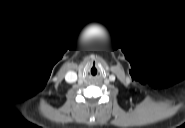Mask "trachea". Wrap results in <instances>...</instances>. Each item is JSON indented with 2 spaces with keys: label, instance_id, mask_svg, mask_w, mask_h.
Segmentation results:
<instances>
[{
  "label": "trachea",
  "instance_id": "trachea-1",
  "mask_svg": "<svg viewBox=\"0 0 185 128\" xmlns=\"http://www.w3.org/2000/svg\"><path fill=\"white\" fill-rule=\"evenodd\" d=\"M90 74L92 76H96L98 74V69L96 66H92L91 70H90Z\"/></svg>",
  "mask_w": 185,
  "mask_h": 128
}]
</instances>
